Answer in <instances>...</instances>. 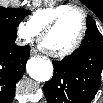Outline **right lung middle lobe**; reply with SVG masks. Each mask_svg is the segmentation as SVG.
<instances>
[{
	"instance_id": "right-lung-middle-lobe-1",
	"label": "right lung middle lobe",
	"mask_w": 103,
	"mask_h": 103,
	"mask_svg": "<svg viewBox=\"0 0 103 103\" xmlns=\"http://www.w3.org/2000/svg\"><path fill=\"white\" fill-rule=\"evenodd\" d=\"M29 13L30 11L25 9L0 7V35L16 38L19 23Z\"/></svg>"
}]
</instances>
